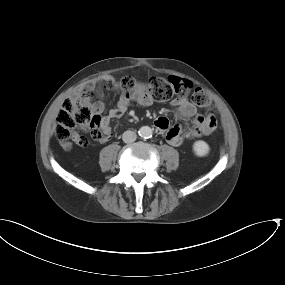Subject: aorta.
<instances>
[{
  "instance_id": "aorta-1",
  "label": "aorta",
  "mask_w": 285,
  "mask_h": 285,
  "mask_svg": "<svg viewBox=\"0 0 285 285\" xmlns=\"http://www.w3.org/2000/svg\"><path fill=\"white\" fill-rule=\"evenodd\" d=\"M152 129L149 126H143L139 129V135L142 138H150L152 137Z\"/></svg>"
}]
</instances>
